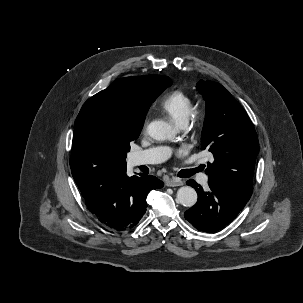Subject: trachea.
I'll use <instances>...</instances> for the list:
<instances>
[{"instance_id": "obj_1", "label": "trachea", "mask_w": 303, "mask_h": 303, "mask_svg": "<svg viewBox=\"0 0 303 303\" xmlns=\"http://www.w3.org/2000/svg\"><path fill=\"white\" fill-rule=\"evenodd\" d=\"M198 171H200L199 168L182 170L179 173V177L187 178V177L192 176L193 174H195Z\"/></svg>"}]
</instances>
